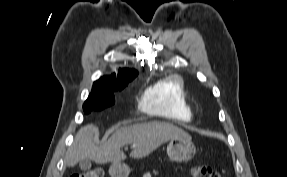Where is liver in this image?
I'll use <instances>...</instances> for the list:
<instances>
[{"instance_id":"6515ba94","label":"liver","mask_w":287,"mask_h":177,"mask_svg":"<svg viewBox=\"0 0 287 177\" xmlns=\"http://www.w3.org/2000/svg\"><path fill=\"white\" fill-rule=\"evenodd\" d=\"M98 128L93 124L82 127L75 136L65 163L75 166L80 160L90 159L97 164L120 162L126 159L121 148L133 145L130 156L140 159L148 156L163 143L176 138H190L181 128L167 122L152 121L137 123L117 129L101 144L96 143Z\"/></svg>"}]
</instances>
